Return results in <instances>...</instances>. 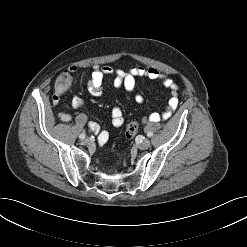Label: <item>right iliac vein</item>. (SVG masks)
<instances>
[{
    "label": "right iliac vein",
    "mask_w": 247,
    "mask_h": 247,
    "mask_svg": "<svg viewBox=\"0 0 247 247\" xmlns=\"http://www.w3.org/2000/svg\"><path fill=\"white\" fill-rule=\"evenodd\" d=\"M91 143H92V140L88 137L83 140L84 145H90Z\"/></svg>",
    "instance_id": "obj_1"
}]
</instances>
